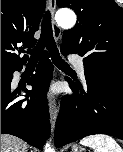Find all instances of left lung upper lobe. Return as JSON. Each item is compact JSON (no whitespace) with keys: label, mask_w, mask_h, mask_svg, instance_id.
Instances as JSON below:
<instances>
[{"label":"left lung upper lobe","mask_w":123,"mask_h":152,"mask_svg":"<svg viewBox=\"0 0 123 152\" xmlns=\"http://www.w3.org/2000/svg\"><path fill=\"white\" fill-rule=\"evenodd\" d=\"M77 14L62 48L83 56L85 70L123 75V9L114 0H57Z\"/></svg>","instance_id":"left-lung-upper-lobe-1"}]
</instances>
